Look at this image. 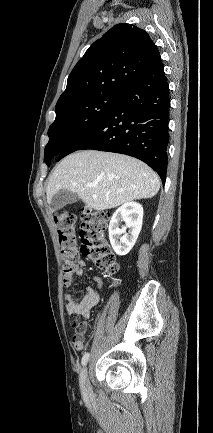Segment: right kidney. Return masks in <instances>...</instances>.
Masks as SVG:
<instances>
[{"mask_svg":"<svg viewBox=\"0 0 213 433\" xmlns=\"http://www.w3.org/2000/svg\"><path fill=\"white\" fill-rule=\"evenodd\" d=\"M121 221L125 222L122 229L119 228ZM142 221L143 207L136 202L124 203L114 212L109 223V239L117 255H126L132 249L141 231Z\"/></svg>","mask_w":213,"mask_h":433,"instance_id":"1","label":"right kidney"}]
</instances>
